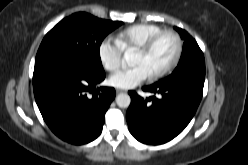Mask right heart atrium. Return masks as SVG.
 Instances as JSON below:
<instances>
[{
	"instance_id": "1",
	"label": "right heart atrium",
	"mask_w": 248,
	"mask_h": 165,
	"mask_svg": "<svg viewBox=\"0 0 248 165\" xmlns=\"http://www.w3.org/2000/svg\"><path fill=\"white\" fill-rule=\"evenodd\" d=\"M123 52L116 40L111 38L104 39L98 48L100 62L103 67L110 72L120 67Z\"/></svg>"
}]
</instances>
